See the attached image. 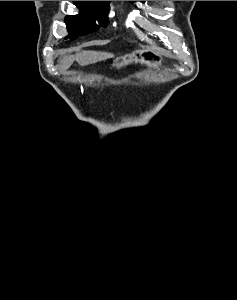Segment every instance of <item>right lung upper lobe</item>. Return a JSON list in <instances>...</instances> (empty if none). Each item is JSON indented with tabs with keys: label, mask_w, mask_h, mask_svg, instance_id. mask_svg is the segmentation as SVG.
I'll list each match as a JSON object with an SVG mask.
<instances>
[{
	"label": "right lung upper lobe",
	"mask_w": 237,
	"mask_h": 300,
	"mask_svg": "<svg viewBox=\"0 0 237 300\" xmlns=\"http://www.w3.org/2000/svg\"><path fill=\"white\" fill-rule=\"evenodd\" d=\"M91 2L99 3V4H108L109 3V1H91Z\"/></svg>",
	"instance_id": "right-lung-upper-lobe-1"
}]
</instances>
